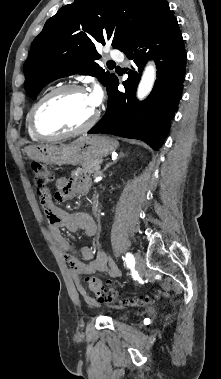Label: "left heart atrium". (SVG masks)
<instances>
[{"label":"left heart atrium","instance_id":"left-heart-atrium-1","mask_svg":"<svg viewBox=\"0 0 221 379\" xmlns=\"http://www.w3.org/2000/svg\"><path fill=\"white\" fill-rule=\"evenodd\" d=\"M88 95L95 107L101 103L103 98V93L99 86H95Z\"/></svg>","mask_w":221,"mask_h":379}]
</instances>
